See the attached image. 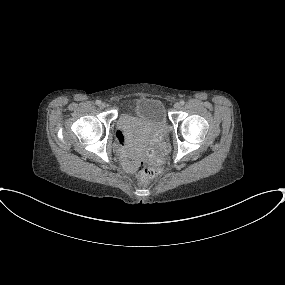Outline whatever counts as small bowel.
<instances>
[{
    "instance_id": "small-bowel-1",
    "label": "small bowel",
    "mask_w": 285,
    "mask_h": 285,
    "mask_svg": "<svg viewBox=\"0 0 285 285\" xmlns=\"http://www.w3.org/2000/svg\"><path fill=\"white\" fill-rule=\"evenodd\" d=\"M123 155H124L125 157H127V156L130 155V153H128L127 151H123ZM133 165H134V164H132L131 162H128V161L126 162V167H127L128 171H130V172L133 171V168H132Z\"/></svg>"
}]
</instances>
